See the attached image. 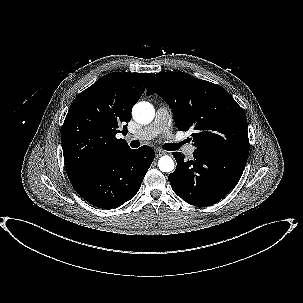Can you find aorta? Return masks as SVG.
I'll list each match as a JSON object with an SVG mask.
<instances>
[{
    "label": "aorta",
    "mask_w": 303,
    "mask_h": 303,
    "mask_svg": "<svg viewBox=\"0 0 303 303\" xmlns=\"http://www.w3.org/2000/svg\"><path fill=\"white\" fill-rule=\"evenodd\" d=\"M134 120L140 124H149L154 119V107L148 102L137 103L132 110ZM158 167L162 172H171L174 170V161L168 156H162L158 161Z\"/></svg>",
    "instance_id": "762f6f07"
}]
</instances>
